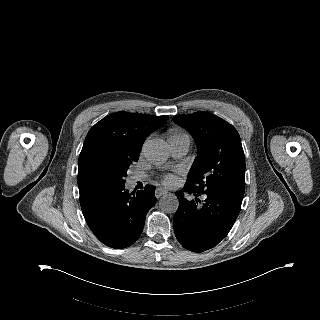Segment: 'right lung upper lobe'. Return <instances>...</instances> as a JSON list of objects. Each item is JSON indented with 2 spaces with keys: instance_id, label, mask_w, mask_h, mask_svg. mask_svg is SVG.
Returning <instances> with one entry per match:
<instances>
[{
  "instance_id": "right-lung-upper-lobe-1",
  "label": "right lung upper lobe",
  "mask_w": 320,
  "mask_h": 320,
  "mask_svg": "<svg viewBox=\"0 0 320 320\" xmlns=\"http://www.w3.org/2000/svg\"><path fill=\"white\" fill-rule=\"evenodd\" d=\"M168 116L153 117L118 112L96 123L88 132L78 160V186L98 181L97 164L103 160L127 157L139 158L147 136Z\"/></svg>"
}]
</instances>
